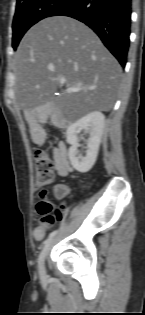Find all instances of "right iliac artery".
I'll return each instance as SVG.
<instances>
[{
  "instance_id": "obj_1",
  "label": "right iliac artery",
  "mask_w": 145,
  "mask_h": 315,
  "mask_svg": "<svg viewBox=\"0 0 145 315\" xmlns=\"http://www.w3.org/2000/svg\"><path fill=\"white\" fill-rule=\"evenodd\" d=\"M56 233H57V231H56V230H55V231H52V232L49 234V236H48L47 240H46V241H44V243H46L49 239H51L52 237H54V236L56 235Z\"/></svg>"
}]
</instances>
